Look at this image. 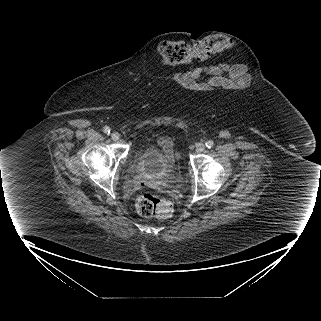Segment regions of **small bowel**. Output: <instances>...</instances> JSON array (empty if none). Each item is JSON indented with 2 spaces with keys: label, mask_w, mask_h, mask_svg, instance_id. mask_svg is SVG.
<instances>
[{
  "label": "small bowel",
  "mask_w": 321,
  "mask_h": 321,
  "mask_svg": "<svg viewBox=\"0 0 321 321\" xmlns=\"http://www.w3.org/2000/svg\"><path fill=\"white\" fill-rule=\"evenodd\" d=\"M176 79L192 91H197L200 87L203 89H213L216 86L250 87L254 83L253 76L247 74L243 66H229L224 63L202 65L186 74H177ZM159 143L169 156H173V144L169 138H162Z\"/></svg>",
  "instance_id": "c3829d8e"
}]
</instances>
